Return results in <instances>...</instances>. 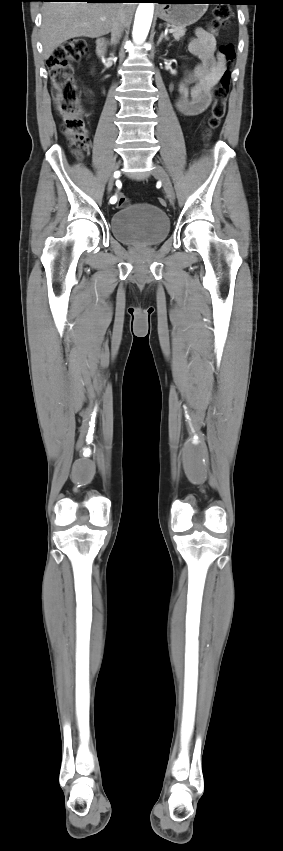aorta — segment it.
<instances>
[{
    "label": "aorta",
    "instance_id": "1",
    "mask_svg": "<svg viewBox=\"0 0 283 851\" xmlns=\"http://www.w3.org/2000/svg\"><path fill=\"white\" fill-rule=\"evenodd\" d=\"M154 6L153 3H140L134 20L133 40L140 44L145 41L150 30L153 18Z\"/></svg>",
    "mask_w": 283,
    "mask_h": 851
}]
</instances>
